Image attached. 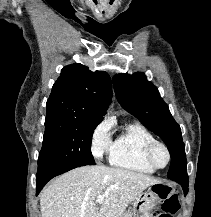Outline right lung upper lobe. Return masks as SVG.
Instances as JSON below:
<instances>
[{
  "instance_id": "right-lung-upper-lobe-1",
  "label": "right lung upper lobe",
  "mask_w": 211,
  "mask_h": 217,
  "mask_svg": "<svg viewBox=\"0 0 211 217\" xmlns=\"http://www.w3.org/2000/svg\"><path fill=\"white\" fill-rule=\"evenodd\" d=\"M111 96V80L106 72H92L80 63L68 65L53 85L45 120L62 118L100 123Z\"/></svg>"
}]
</instances>
